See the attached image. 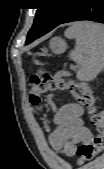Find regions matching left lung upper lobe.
<instances>
[{"instance_id":"5c2ea615","label":"left lung upper lobe","mask_w":104,"mask_h":169,"mask_svg":"<svg viewBox=\"0 0 104 169\" xmlns=\"http://www.w3.org/2000/svg\"><path fill=\"white\" fill-rule=\"evenodd\" d=\"M54 6L38 8L34 24L28 37L34 33L51 31L58 26L75 8L77 0H46Z\"/></svg>"}]
</instances>
